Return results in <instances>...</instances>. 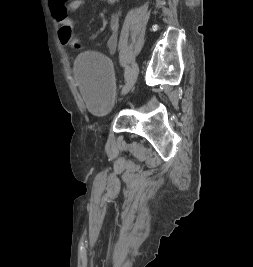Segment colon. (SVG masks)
Segmentation results:
<instances>
[{
  "label": "colon",
  "mask_w": 253,
  "mask_h": 267,
  "mask_svg": "<svg viewBox=\"0 0 253 267\" xmlns=\"http://www.w3.org/2000/svg\"><path fill=\"white\" fill-rule=\"evenodd\" d=\"M58 38L63 45L70 46L74 50H80L83 47L80 40L74 37L72 28L70 26H60Z\"/></svg>",
  "instance_id": "5ec220e1"
}]
</instances>
